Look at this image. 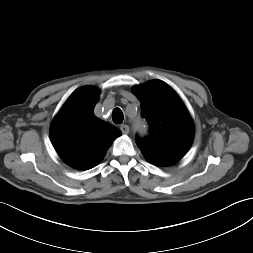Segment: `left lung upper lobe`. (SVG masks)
<instances>
[{
    "label": "left lung upper lobe",
    "instance_id": "obj_1",
    "mask_svg": "<svg viewBox=\"0 0 253 253\" xmlns=\"http://www.w3.org/2000/svg\"><path fill=\"white\" fill-rule=\"evenodd\" d=\"M141 113L150 124L147 138H136L145 159L157 166L179 161L190 148L194 127L192 119L176 92L159 80L135 86Z\"/></svg>",
    "mask_w": 253,
    "mask_h": 253
}]
</instances>
